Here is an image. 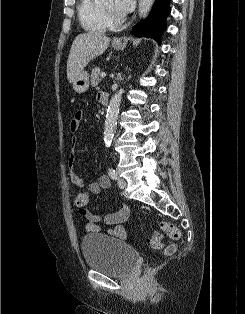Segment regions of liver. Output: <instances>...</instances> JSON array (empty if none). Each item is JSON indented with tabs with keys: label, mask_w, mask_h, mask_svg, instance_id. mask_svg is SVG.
I'll list each match as a JSON object with an SVG mask.
<instances>
[{
	"label": "liver",
	"mask_w": 245,
	"mask_h": 314,
	"mask_svg": "<svg viewBox=\"0 0 245 314\" xmlns=\"http://www.w3.org/2000/svg\"><path fill=\"white\" fill-rule=\"evenodd\" d=\"M110 43V38L99 32L79 34L73 41L67 61V78L73 83L76 76L88 63L102 55Z\"/></svg>",
	"instance_id": "6515ba94"
}]
</instances>
